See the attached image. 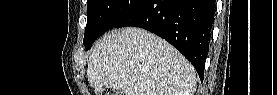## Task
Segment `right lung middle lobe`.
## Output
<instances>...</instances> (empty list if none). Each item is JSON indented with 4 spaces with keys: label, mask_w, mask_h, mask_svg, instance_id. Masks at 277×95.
<instances>
[{
    "label": "right lung middle lobe",
    "mask_w": 277,
    "mask_h": 95,
    "mask_svg": "<svg viewBox=\"0 0 277 95\" xmlns=\"http://www.w3.org/2000/svg\"><path fill=\"white\" fill-rule=\"evenodd\" d=\"M143 0H87L84 45L88 50L105 31L115 27Z\"/></svg>",
    "instance_id": "dd1d6c3e"
}]
</instances>
